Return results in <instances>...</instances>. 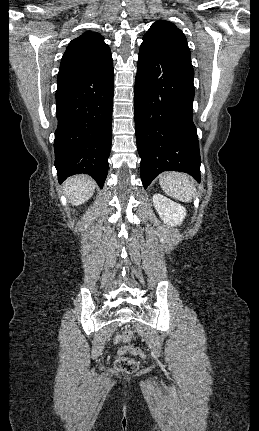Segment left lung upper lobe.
Segmentation results:
<instances>
[{
    "label": "left lung upper lobe",
    "instance_id": "1",
    "mask_svg": "<svg viewBox=\"0 0 259 431\" xmlns=\"http://www.w3.org/2000/svg\"><path fill=\"white\" fill-rule=\"evenodd\" d=\"M143 42L150 43L170 55L191 62V53L185 35L169 21L159 20L153 23L144 35Z\"/></svg>",
    "mask_w": 259,
    "mask_h": 431
}]
</instances>
